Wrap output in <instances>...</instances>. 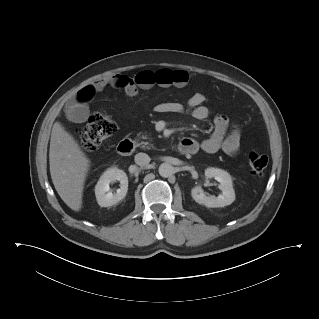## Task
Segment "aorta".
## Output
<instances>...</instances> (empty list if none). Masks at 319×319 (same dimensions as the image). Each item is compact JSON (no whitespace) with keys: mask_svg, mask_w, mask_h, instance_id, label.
<instances>
[{"mask_svg":"<svg viewBox=\"0 0 319 319\" xmlns=\"http://www.w3.org/2000/svg\"><path fill=\"white\" fill-rule=\"evenodd\" d=\"M158 171H159L160 176L167 178L173 174L174 167L169 163H162L159 166Z\"/></svg>","mask_w":319,"mask_h":319,"instance_id":"1","label":"aorta"}]
</instances>
